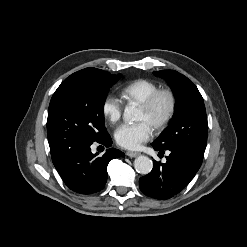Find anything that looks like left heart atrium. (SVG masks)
Wrapping results in <instances>:
<instances>
[{
  "label": "left heart atrium",
  "mask_w": 247,
  "mask_h": 247,
  "mask_svg": "<svg viewBox=\"0 0 247 247\" xmlns=\"http://www.w3.org/2000/svg\"><path fill=\"white\" fill-rule=\"evenodd\" d=\"M153 128L145 120L136 123H125L117 128L115 140L125 149H137L152 136Z\"/></svg>",
  "instance_id": "obj_1"
}]
</instances>
